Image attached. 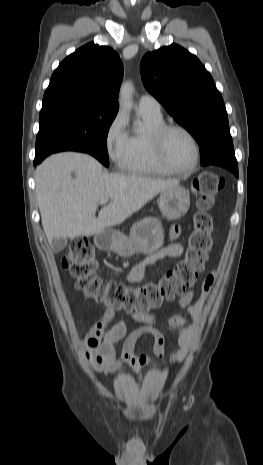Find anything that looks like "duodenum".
Listing matches in <instances>:
<instances>
[{"label":"duodenum","mask_w":263,"mask_h":465,"mask_svg":"<svg viewBox=\"0 0 263 465\" xmlns=\"http://www.w3.org/2000/svg\"><path fill=\"white\" fill-rule=\"evenodd\" d=\"M97 244L100 248H105L108 244V241L105 238H99Z\"/></svg>","instance_id":"obj_1"}]
</instances>
